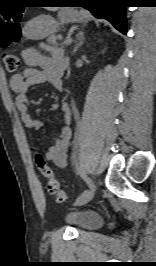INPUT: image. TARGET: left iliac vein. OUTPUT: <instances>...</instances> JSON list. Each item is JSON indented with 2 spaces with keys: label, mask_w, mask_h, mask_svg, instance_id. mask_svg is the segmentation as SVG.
I'll return each mask as SVG.
<instances>
[{
  "label": "left iliac vein",
  "mask_w": 156,
  "mask_h": 266,
  "mask_svg": "<svg viewBox=\"0 0 156 266\" xmlns=\"http://www.w3.org/2000/svg\"><path fill=\"white\" fill-rule=\"evenodd\" d=\"M90 182H94V185H93V186H95V189H94V190L89 189V193H88V195H87L85 198H83L82 200H80L79 202H76L77 205H79V206H81V205H85V204L88 203V202L93 198V196L95 195V192H96V189H97V187H96V183H95V181H93V180H91Z\"/></svg>",
  "instance_id": "obj_1"
}]
</instances>
